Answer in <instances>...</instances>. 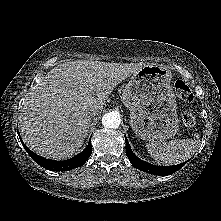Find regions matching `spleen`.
I'll return each mask as SVG.
<instances>
[{
    "instance_id": "3e777b00",
    "label": "spleen",
    "mask_w": 221,
    "mask_h": 221,
    "mask_svg": "<svg viewBox=\"0 0 221 221\" xmlns=\"http://www.w3.org/2000/svg\"><path fill=\"white\" fill-rule=\"evenodd\" d=\"M201 145L198 138L176 139L166 142H151L146 145L151 157L164 165H176L189 159Z\"/></svg>"
}]
</instances>
